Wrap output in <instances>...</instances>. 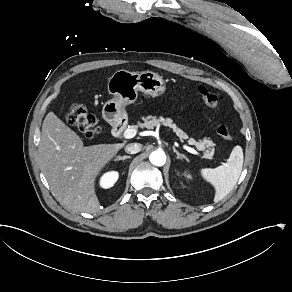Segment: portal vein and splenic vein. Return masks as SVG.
Returning a JSON list of instances; mask_svg holds the SVG:
<instances>
[{
  "label": "portal vein and splenic vein",
  "mask_w": 292,
  "mask_h": 292,
  "mask_svg": "<svg viewBox=\"0 0 292 292\" xmlns=\"http://www.w3.org/2000/svg\"><path fill=\"white\" fill-rule=\"evenodd\" d=\"M135 134H136V131L134 129H127L123 132V138L131 139L135 136ZM187 150L194 155L201 156V154L193 148H187Z\"/></svg>",
  "instance_id": "18ae733b"
}]
</instances>
